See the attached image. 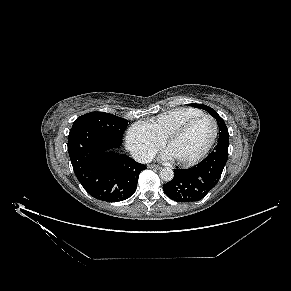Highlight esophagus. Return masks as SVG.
<instances>
[{"mask_svg": "<svg viewBox=\"0 0 291 291\" xmlns=\"http://www.w3.org/2000/svg\"><path fill=\"white\" fill-rule=\"evenodd\" d=\"M148 168H150V169H160V166L155 165V164H150V165H148Z\"/></svg>", "mask_w": 291, "mask_h": 291, "instance_id": "1", "label": "esophagus"}]
</instances>
